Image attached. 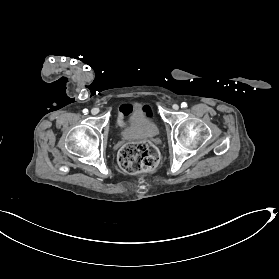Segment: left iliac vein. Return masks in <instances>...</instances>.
<instances>
[{
  "label": "left iliac vein",
  "mask_w": 279,
  "mask_h": 279,
  "mask_svg": "<svg viewBox=\"0 0 279 279\" xmlns=\"http://www.w3.org/2000/svg\"><path fill=\"white\" fill-rule=\"evenodd\" d=\"M172 107H173L174 110H178L179 109V106L177 104H173Z\"/></svg>",
  "instance_id": "obj_1"
}]
</instances>
